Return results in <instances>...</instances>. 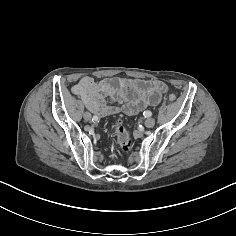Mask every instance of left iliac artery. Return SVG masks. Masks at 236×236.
Here are the masks:
<instances>
[{
    "label": "left iliac artery",
    "instance_id": "1",
    "mask_svg": "<svg viewBox=\"0 0 236 236\" xmlns=\"http://www.w3.org/2000/svg\"><path fill=\"white\" fill-rule=\"evenodd\" d=\"M143 115H144L145 117H150V116L152 115V113L147 110V111H144Z\"/></svg>",
    "mask_w": 236,
    "mask_h": 236
}]
</instances>
